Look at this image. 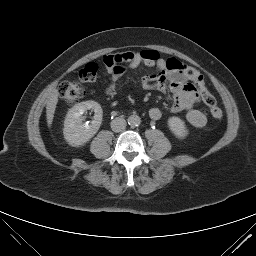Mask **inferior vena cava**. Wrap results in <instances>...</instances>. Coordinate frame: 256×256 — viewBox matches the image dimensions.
Instances as JSON below:
<instances>
[{"mask_svg":"<svg viewBox=\"0 0 256 256\" xmlns=\"http://www.w3.org/2000/svg\"><path fill=\"white\" fill-rule=\"evenodd\" d=\"M126 128V121L122 117H116L111 121V129L114 132H121Z\"/></svg>","mask_w":256,"mask_h":256,"instance_id":"602c4592","label":"inferior vena cava"}]
</instances>
